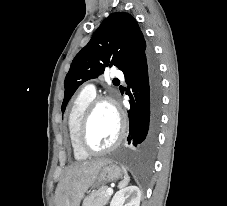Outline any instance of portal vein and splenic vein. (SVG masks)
<instances>
[{
	"mask_svg": "<svg viewBox=\"0 0 227 206\" xmlns=\"http://www.w3.org/2000/svg\"><path fill=\"white\" fill-rule=\"evenodd\" d=\"M113 194V189L112 188H109L108 190H107V195H112Z\"/></svg>",
	"mask_w": 227,
	"mask_h": 206,
	"instance_id": "18ae733b",
	"label": "portal vein and splenic vein"
}]
</instances>
